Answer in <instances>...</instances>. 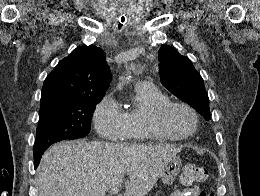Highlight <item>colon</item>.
<instances>
[{
	"label": "colon",
	"mask_w": 260,
	"mask_h": 196,
	"mask_svg": "<svg viewBox=\"0 0 260 196\" xmlns=\"http://www.w3.org/2000/svg\"><path fill=\"white\" fill-rule=\"evenodd\" d=\"M208 173L206 169L200 165L188 163L182 166L180 173V181L185 186H191L197 183H203L207 180Z\"/></svg>",
	"instance_id": "colon-1"
}]
</instances>
